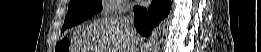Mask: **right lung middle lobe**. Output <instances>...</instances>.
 Wrapping results in <instances>:
<instances>
[{"label":"right lung middle lobe","mask_w":261,"mask_h":52,"mask_svg":"<svg viewBox=\"0 0 261 52\" xmlns=\"http://www.w3.org/2000/svg\"><path fill=\"white\" fill-rule=\"evenodd\" d=\"M101 10V0H71L61 31L87 20Z\"/></svg>","instance_id":"right-lung-middle-lobe-1"}]
</instances>
